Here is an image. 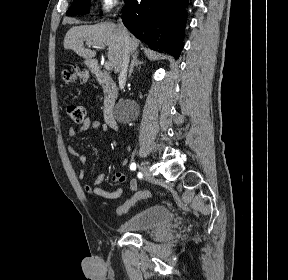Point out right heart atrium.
Returning a JSON list of instances; mask_svg holds the SVG:
<instances>
[{"label": "right heart atrium", "instance_id": "1", "mask_svg": "<svg viewBox=\"0 0 288 280\" xmlns=\"http://www.w3.org/2000/svg\"><path fill=\"white\" fill-rule=\"evenodd\" d=\"M118 0H98V10L101 13L109 12L116 4Z\"/></svg>", "mask_w": 288, "mask_h": 280}]
</instances>
